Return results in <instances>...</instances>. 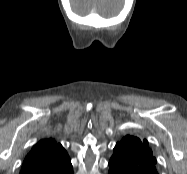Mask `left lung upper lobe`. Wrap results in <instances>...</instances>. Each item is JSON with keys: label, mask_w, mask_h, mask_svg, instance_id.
<instances>
[{"label": "left lung upper lobe", "mask_w": 187, "mask_h": 174, "mask_svg": "<svg viewBox=\"0 0 187 174\" xmlns=\"http://www.w3.org/2000/svg\"><path fill=\"white\" fill-rule=\"evenodd\" d=\"M147 145V140L128 135L116 144L109 164L126 165L134 173H140L138 169L158 173L156 159Z\"/></svg>", "instance_id": "left-lung-upper-lobe-1"}]
</instances>
